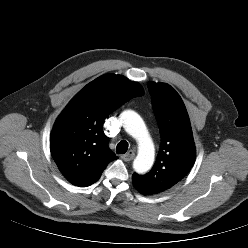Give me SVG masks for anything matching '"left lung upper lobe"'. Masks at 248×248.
Here are the masks:
<instances>
[{"label": "left lung upper lobe", "instance_id": "left-lung-upper-lobe-1", "mask_svg": "<svg viewBox=\"0 0 248 248\" xmlns=\"http://www.w3.org/2000/svg\"><path fill=\"white\" fill-rule=\"evenodd\" d=\"M153 111L161 135L153 168L145 175L134 173L133 185L145 195L162 193L187 176L195 162V144L186 107L168 84L148 82Z\"/></svg>", "mask_w": 248, "mask_h": 248}]
</instances>
